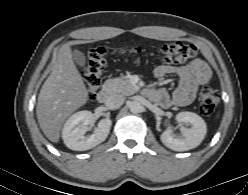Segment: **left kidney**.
<instances>
[{"instance_id":"left-kidney-1","label":"left kidney","mask_w":248,"mask_h":195,"mask_svg":"<svg viewBox=\"0 0 248 195\" xmlns=\"http://www.w3.org/2000/svg\"><path fill=\"white\" fill-rule=\"evenodd\" d=\"M176 119L179 123L189 124L190 128H185L182 136H176L168 128L161 134L162 143L174 151H187L200 145L207 132L205 121L192 112H180Z\"/></svg>"}]
</instances>
